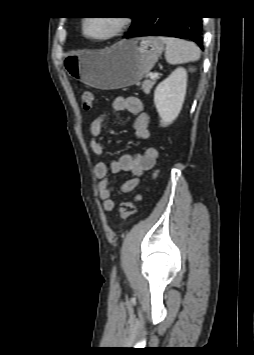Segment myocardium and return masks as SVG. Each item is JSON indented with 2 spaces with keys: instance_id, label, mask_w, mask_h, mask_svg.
<instances>
[{
  "instance_id": "f54148a6",
  "label": "myocardium",
  "mask_w": 254,
  "mask_h": 355,
  "mask_svg": "<svg viewBox=\"0 0 254 355\" xmlns=\"http://www.w3.org/2000/svg\"><path fill=\"white\" fill-rule=\"evenodd\" d=\"M91 18L92 17H86L83 20V23H82V34H83V36L85 38H87L89 40H92V41H97V42L107 41V40H110V39H113V38L119 36L128 27L129 22H130V18L127 17V16H113L112 18L116 22L115 29L111 33H109L108 35H105V36H102V37H92V36L88 35L87 32H86L87 22Z\"/></svg>"
}]
</instances>
